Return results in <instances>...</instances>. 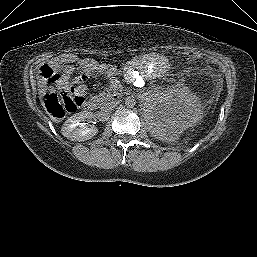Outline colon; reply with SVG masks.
Returning <instances> with one entry per match:
<instances>
[{"label": "colon", "mask_w": 257, "mask_h": 257, "mask_svg": "<svg viewBox=\"0 0 257 257\" xmlns=\"http://www.w3.org/2000/svg\"><path fill=\"white\" fill-rule=\"evenodd\" d=\"M190 61L197 62L202 59V55L197 51L186 53ZM96 65H91L90 69H97ZM89 72L86 71L78 76L75 83L57 94L49 92L45 95V107L48 113L55 119H61L66 113L77 110L85 101L86 81ZM41 78L47 83L55 82L59 79V74L50 65H44L40 69Z\"/></svg>", "instance_id": "obj_1"}]
</instances>
